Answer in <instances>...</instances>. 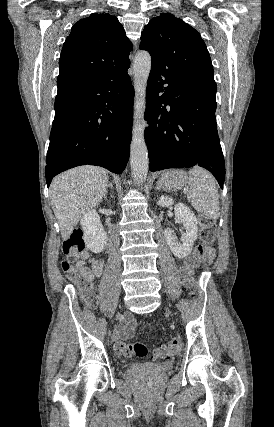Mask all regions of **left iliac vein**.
<instances>
[{"mask_svg":"<svg viewBox=\"0 0 274 427\" xmlns=\"http://www.w3.org/2000/svg\"><path fill=\"white\" fill-rule=\"evenodd\" d=\"M166 311L169 313V310H168V309H166Z\"/></svg>","mask_w":274,"mask_h":427,"instance_id":"obj_1","label":"left iliac vein"}]
</instances>
